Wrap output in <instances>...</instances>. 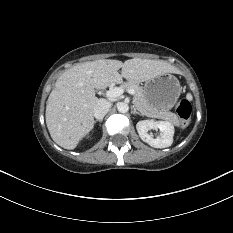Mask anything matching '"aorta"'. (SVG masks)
<instances>
[{
  "label": "aorta",
  "instance_id": "762f6f07",
  "mask_svg": "<svg viewBox=\"0 0 233 233\" xmlns=\"http://www.w3.org/2000/svg\"><path fill=\"white\" fill-rule=\"evenodd\" d=\"M117 109H118V111H119L120 113H126V112H128V110H129V106H128V104L125 103V102H120V103H118V105H117Z\"/></svg>",
  "mask_w": 233,
  "mask_h": 233
}]
</instances>
